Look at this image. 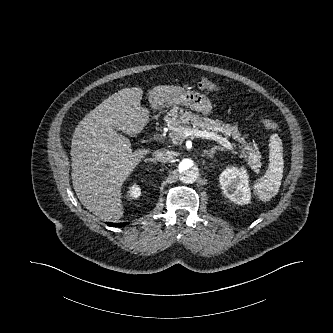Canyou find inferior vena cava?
Returning a JSON list of instances; mask_svg holds the SVG:
<instances>
[{"instance_id":"inferior-vena-cava-1","label":"inferior vena cava","mask_w":333,"mask_h":333,"mask_svg":"<svg viewBox=\"0 0 333 333\" xmlns=\"http://www.w3.org/2000/svg\"><path fill=\"white\" fill-rule=\"evenodd\" d=\"M173 157H174V153L171 151L158 150L153 153V160L163 162V163L169 162L170 160L173 159Z\"/></svg>"}]
</instances>
